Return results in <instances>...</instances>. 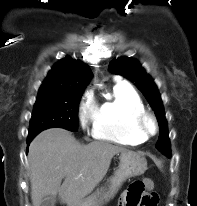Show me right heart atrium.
<instances>
[{
	"mask_svg": "<svg viewBox=\"0 0 197 206\" xmlns=\"http://www.w3.org/2000/svg\"><path fill=\"white\" fill-rule=\"evenodd\" d=\"M96 112L97 107L93 101L92 95L87 93L78 108V117L83 129H86L88 124L94 120Z\"/></svg>",
	"mask_w": 197,
	"mask_h": 206,
	"instance_id": "right-heart-atrium-1",
	"label": "right heart atrium"
}]
</instances>
